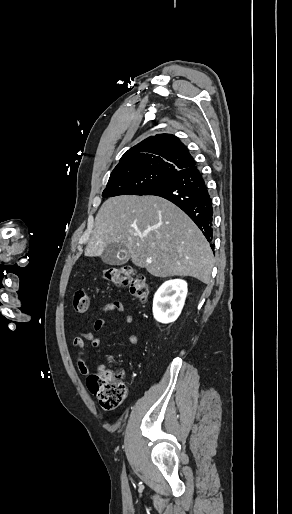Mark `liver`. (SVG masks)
I'll list each match as a JSON object with an SVG mask.
<instances>
[{
    "label": "liver",
    "mask_w": 292,
    "mask_h": 514,
    "mask_svg": "<svg viewBox=\"0 0 292 514\" xmlns=\"http://www.w3.org/2000/svg\"><path fill=\"white\" fill-rule=\"evenodd\" d=\"M120 242L135 266L152 276H192L210 284L213 252L201 230L159 196H116L102 204L84 256H101Z\"/></svg>",
    "instance_id": "1"
}]
</instances>
